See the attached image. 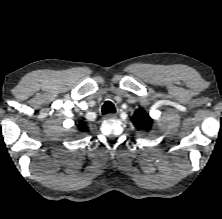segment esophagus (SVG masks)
Instances as JSON below:
<instances>
[{
	"label": "esophagus",
	"instance_id": "esophagus-1",
	"mask_svg": "<svg viewBox=\"0 0 222 219\" xmlns=\"http://www.w3.org/2000/svg\"><path fill=\"white\" fill-rule=\"evenodd\" d=\"M114 118H116V114L113 113H109L104 116V119H114Z\"/></svg>",
	"mask_w": 222,
	"mask_h": 219
}]
</instances>
